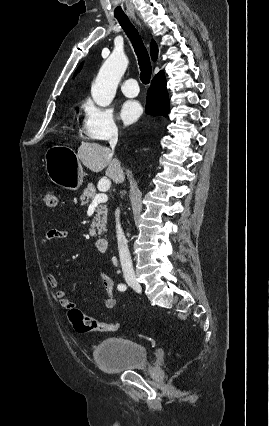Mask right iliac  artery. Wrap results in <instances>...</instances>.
Masks as SVG:
<instances>
[{
  "instance_id": "1",
  "label": "right iliac artery",
  "mask_w": 269,
  "mask_h": 426,
  "mask_svg": "<svg viewBox=\"0 0 269 426\" xmlns=\"http://www.w3.org/2000/svg\"><path fill=\"white\" fill-rule=\"evenodd\" d=\"M118 289L120 291L125 290L126 289V285L120 284V285H118Z\"/></svg>"
}]
</instances>
